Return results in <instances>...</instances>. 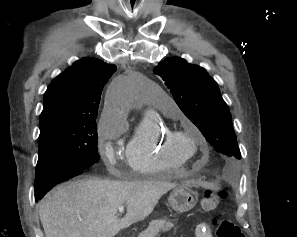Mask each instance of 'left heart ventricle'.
Wrapping results in <instances>:
<instances>
[{
  "instance_id": "1",
  "label": "left heart ventricle",
  "mask_w": 297,
  "mask_h": 237,
  "mask_svg": "<svg viewBox=\"0 0 297 237\" xmlns=\"http://www.w3.org/2000/svg\"><path fill=\"white\" fill-rule=\"evenodd\" d=\"M186 151H191V146L189 144L186 145Z\"/></svg>"
}]
</instances>
